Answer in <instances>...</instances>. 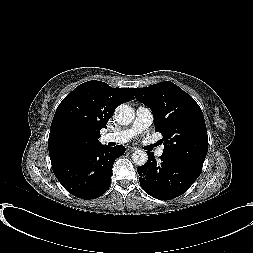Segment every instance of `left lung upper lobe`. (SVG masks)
Returning a JSON list of instances; mask_svg holds the SVG:
<instances>
[{
  "instance_id": "5c2ea615",
  "label": "left lung upper lobe",
  "mask_w": 253,
  "mask_h": 253,
  "mask_svg": "<svg viewBox=\"0 0 253 253\" xmlns=\"http://www.w3.org/2000/svg\"><path fill=\"white\" fill-rule=\"evenodd\" d=\"M131 91L152 110L155 130L163 135L166 146L163 153L203 166L208 135L202 110L195 100L170 81Z\"/></svg>"
}]
</instances>
